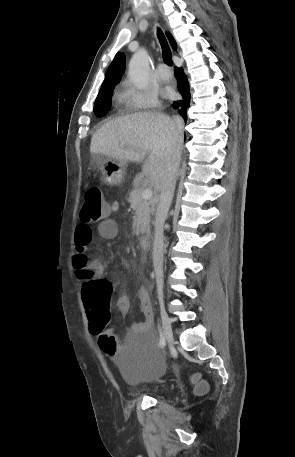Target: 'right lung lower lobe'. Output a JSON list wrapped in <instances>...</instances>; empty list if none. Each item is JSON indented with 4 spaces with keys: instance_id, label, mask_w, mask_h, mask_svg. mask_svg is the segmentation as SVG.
Here are the masks:
<instances>
[{
    "instance_id": "98d812e1",
    "label": "right lung lower lobe",
    "mask_w": 295,
    "mask_h": 457,
    "mask_svg": "<svg viewBox=\"0 0 295 457\" xmlns=\"http://www.w3.org/2000/svg\"><path fill=\"white\" fill-rule=\"evenodd\" d=\"M175 73L178 81V90L182 95V99L173 103L174 108H177L180 115L187 120V109L190 106V90L187 77L183 74V69L175 67Z\"/></svg>"
}]
</instances>
